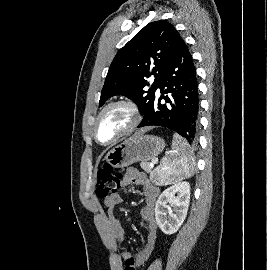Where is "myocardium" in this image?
I'll list each match as a JSON object with an SVG mask.
<instances>
[{"instance_id":"obj_1","label":"myocardium","mask_w":267,"mask_h":270,"mask_svg":"<svg viewBox=\"0 0 267 270\" xmlns=\"http://www.w3.org/2000/svg\"><path fill=\"white\" fill-rule=\"evenodd\" d=\"M116 106L126 107L132 115V121H131L130 125L123 132H121L118 136H116L114 139H112L109 142H102L98 136L99 121H100L102 115L107 110H109L110 108L116 107ZM140 121H141V112H140L138 105L134 101L129 100V99H118V100H115V101H112V102L106 104L100 110V112L98 113V115L96 117L95 123H94L93 135H94L95 140L100 145H104V146L112 145V144L117 143L119 140H121L122 138H124L128 134H130L132 131H134L136 129V127L139 125Z\"/></svg>"}]
</instances>
